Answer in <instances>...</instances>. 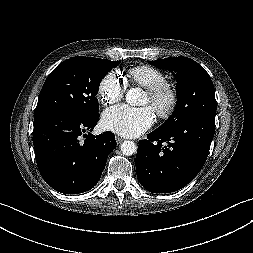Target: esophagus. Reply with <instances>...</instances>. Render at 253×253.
Instances as JSON below:
<instances>
[{
	"mask_svg": "<svg viewBox=\"0 0 253 253\" xmlns=\"http://www.w3.org/2000/svg\"><path fill=\"white\" fill-rule=\"evenodd\" d=\"M123 141V139L119 136H116V142L117 144H120Z\"/></svg>",
	"mask_w": 253,
	"mask_h": 253,
	"instance_id": "obj_1",
	"label": "esophagus"
}]
</instances>
